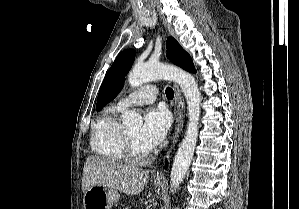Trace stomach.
<instances>
[{"label": "stomach", "mask_w": 299, "mask_h": 209, "mask_svg": "<svg viewBox=\"0 0 299 209\" xmlns=\"http://www.w3.org/2000/svg\"><path fill=\"white\" fill-rule=\"evenodd\" d=\"M155 186L160 188L162 183L155 182ZM119 200V193L115 189L101 185H93L84 193V209H111Z\"/></svg>", "instance_id": "stomach-1"}]
</instances>
